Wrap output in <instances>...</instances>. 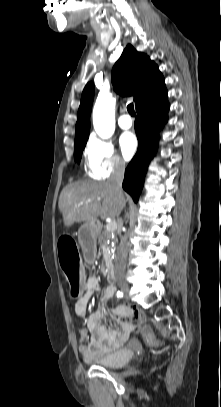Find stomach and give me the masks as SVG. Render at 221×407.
I'll return each mask as SVG.
<instances>
[{
    "mask_svg": "<svg viewBox=\"0 0 221 407\" xmlns=\"http://www.w3.org/2000/svg\"><path fill=\"white\" fill-rule=\"evenodd\" d=\"M83 227L91 229L93 227V225L91 223H86Z\"/></svg>",
    "mask_w": 221,
    "mask_h": 407,
    "instance_id": "stomach-1",
    "label": "stomach"
}]
</instances>
